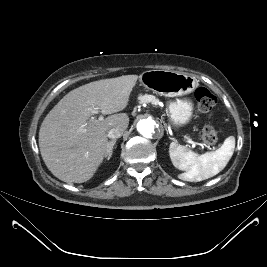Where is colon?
I'll return each mask as SVG.
<instances>
[{
  "mask_svg": "<svg viewBox=\"0 0 267 267\" xmlns=\"http://www.w3.org/2000/svg\"><path fill=\"white\" fill-rule=\"evenodd\" d=\"M195 98L200 110L212 118L213 109L216 105V97L205 87H199L195 91ZM202 140L207 145H215L219 141L218 132L212 126H205L202 130Z\"/></svg>",
  "mask_w": 267,
  "mask_h": 267,
  "instance_id": "5ec220e1",
  "label": "colon"
}]
</instances>
